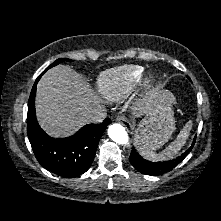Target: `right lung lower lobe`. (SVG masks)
<instances>
[{
  "label": "right lung lower lobe",
  "mask_w": 221,
  "mask_h": 221,
  "mask_svg": "<svg viewBox=\"0 0 221 221\" xmlns=\"http://www.w3.org/2000/svg\"><path fill=\"white\" fill-rule=\"evenodd\" d=\"M36 79L28 102L27 134L36 159L45 169L67 178H73L86 172L97 150L99 140L110 124L105 119L99 124H88L74 135L54 139L39 126L35 113Z\"/></svg>",
  "instance_id": "right-lung-lower-lobe-1"
}]
</instances>
